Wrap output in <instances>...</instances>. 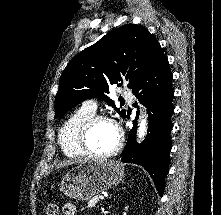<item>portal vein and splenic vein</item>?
<instances>
[{"mask_svg": "<svg viewBox=\"0 0 221 215\" xmlns=\"http://www.w3.org/2000/svg\"><path fill=\"white\" fill-rule=\"evenodd\" d=\"M100 199H104V196H103V195H101V196H100Z\"/></svg>", "mask_w": 221, "mask_h": 215, "instance_id": "1", "label": "portal vein and splenic vein"}]
</instances>
